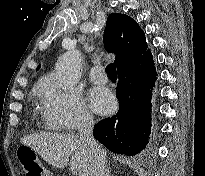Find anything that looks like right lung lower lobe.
<instances>
[{
	"instance_id": "obj_1",
	"label": "right lung lower lobe",
	"mask_w": 205,
	"mask_h": 176,
	"mask_svg": "<svg viewBox=\"0 0 205 176\" xmlns=\"http://www.w3.org/2000/svg\"><path fill=\"white\" fill-rule=\"evenodd\" d=\"M156 69L150 50L118 70L119 110L94 126V137L110 151L135 155L145 149L151 128Z\"/></svg>"
}]
</instances>
